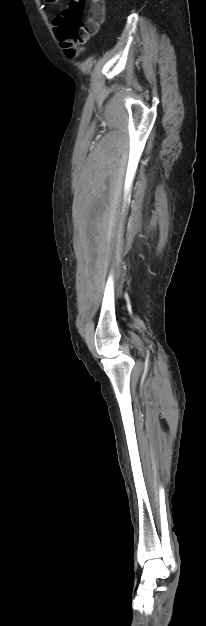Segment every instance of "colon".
<instances>
[{
	"label": "colon",
	"mask_w": 206,
	"mask_h": 626,
	"mask_svg": "<svg viewBox=\"0 0 206 626\" xmlns=\"http://www.w3.org/2000/svg\"><path fill=\"white\" fill-rule=\"evenodd\" d=\"M103 19V0H70L54 18V31L66 54L76 56L81 45L97 32Z\"/></svg>",
	"instance_id": "obj_1"
}]
</instances>
